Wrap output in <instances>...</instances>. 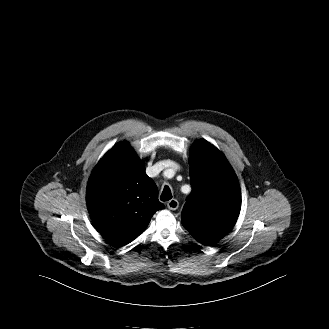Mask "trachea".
I'll return each instance as SVG.
<instances>
[{"instance_id": "3493384b", "label": "trachea", "mask_w": 329, "mask_h": 329, "mask_svg": "<svg viewBox=\"0 0 329 329\" xmlns=\"http://www.w3.org/2000/svg\"><path fill=\"white\" fill-rule=\"evenodd\" d=\"M172 198L171 190L168 186H165L160 196L161 201H169Z\"/></svg>"}]
</instances>
